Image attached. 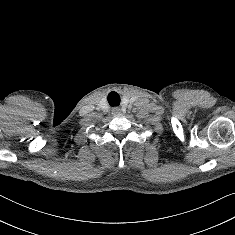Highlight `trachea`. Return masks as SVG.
Returning a JSON list of instances; mask_svg holds the SVG:
<instances>
[{
	"instance_id": "trachea-1",
	"label": "trachea",
	"mask_w": 235,
	"mask_h": 235,
	"mask_svg": "<svg viewBox=\"0 0 235 235\" xmlns=\"http://www.w3.org/2000/svg\"><path fill=\"white\" fill-rule=\"evenodd\" d=\"M108 102L110 106H118L120 104V96L116 92H111L108 95Z\"/></svg>"
}]
</instances>
